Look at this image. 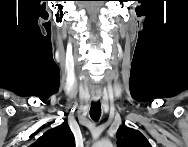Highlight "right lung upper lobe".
Segmentation results:
<instances>
[{
    "mask_svg": "<svg viewBox=\"0 0 188 147\" xmlns=\"http://www.w3.org/2000/svg\"><path fill=\"white\" fill-rule=\"evenodd\" d=\"M32 146L34 147H75L74 135L64 122L62 125L48 130L41 136L37 142Z\"/></svg>",
    "mask_w": 188,
    "mask_h": 147,
    "instance_id": "obj_1",
    "label": "right lung upper lobe"
}]
</instances>
